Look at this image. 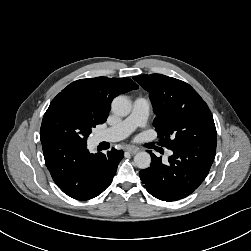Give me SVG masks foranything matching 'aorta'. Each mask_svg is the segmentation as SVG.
Returning a JSON list of instances; mask_svg holds the SVG:
<instances>
[{
	"label": "aorta",
	"mask_w": 251,
	"mask_h": 251,
	"mask_svg": "<svg viewBox=\"0 0 251 251\" xmlns=\"http://www.w3.org/2000/svg\"><path fill=\"white\" fill-rule=\"evenodd\" d=\"M112 112L118 116L124 117L131 112V103L125 96L116 97L111 104ZM134 163L140 169H146L150 166L151 156L142 151L134 156Z\"/></svg>",
	"instance_id": "762f6f07"
}]
</instances>
